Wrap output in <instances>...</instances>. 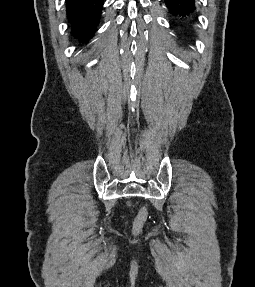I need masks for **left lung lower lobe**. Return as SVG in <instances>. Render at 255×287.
<instances>
[{
    "mask_svg": "<svg viewBox=\"0 0 255 287\" xmlns=\"http://www.w3.org/2000/svg\"><path fill=\"white\" fill-rule=\"evenodd\" d=\"M167 8L181 23L190 24L195 19V0H164Z\"/></svg>",
    "mask_w": 255,
    "mask_h": 287,
    "instance_id": "0a47b994",
    "label": "left lung lower lobe"
}]
</instances>
